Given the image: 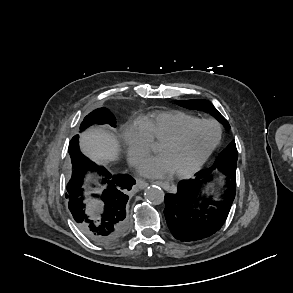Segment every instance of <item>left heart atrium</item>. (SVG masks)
<instances>
[{"label": "left heart atrium", "instance_id": "39dd6f15", "mask_svg": "<svg viewBox=\"0 0 293 293\" xmlns=\"http://www.w3.org/2000/svg\"><path fill=\"white\" fill-rule=\"evenodd\" d=\"M139 170L141 174L155 178L166 177L174 172L168 160L162 155L146 159Z\"/></svg>", "mask_w": 293, "mask_h": 293}]
</instances>
